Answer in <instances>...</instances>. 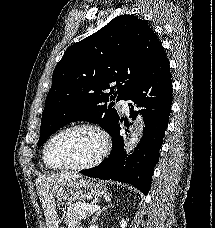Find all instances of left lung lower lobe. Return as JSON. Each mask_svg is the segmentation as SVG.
<instances>
[{"mask_svg":"<svg viewBox=\"0 0 215 228\" xmlns=\"http://www.w3.org/2000/svg\"><path fill=\"white\" fill-rule=\"evenodd\" d=\"M126 100L131 101V108H134L133 104L145 108L139 111L130 109V118L133 120L138 113H142L144 117L145 127L140 143L132 154L125 157L123 137L120 135L121 119L111 134L112 152L109 157L97 167L80 173L89 177L127 183L147 194L151 187L154 167L159 161V149L162 146L172 103L170 66L163 49Z\"/></svg>","mask_w":215,"mask_h":228,"instance_id":"left-lung-lower-lobe-1","label":"left lung lower lobe"}]
</instances>
